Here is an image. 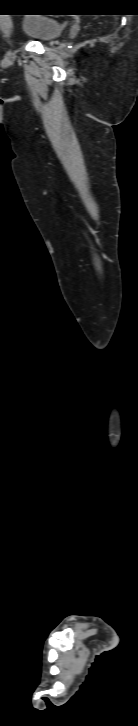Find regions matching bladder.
<instances>
[{
	"mask_svg": "<svg viewBox=\"0 0 138 726\" xmlns=\"http://www.w3.org/2000/svg\"><path fill=\"white\" fill-rule=\"evenodd\" d=\"M64 28V23L59 19L41 14H31L21 26L26 36L39 41H49L60 37Z\"/></svg>",
	"mask_w": 138,
	"mask_h": 726,
	"instance_id": "obj_1",
	"label": "bladder"
}]
</instances>
